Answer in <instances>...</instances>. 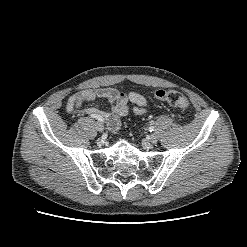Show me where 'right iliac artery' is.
Segmentation results:
<instances>
[{"instance_id":"82829eb1","label":"right iliac artery","mask_w":247,"mask_h":247,"mask_svg":"<svg viewBox=\"0 0 247 247\" xmlns=\"http://www.w3.org/2000/svg\"><path fill=\"white\" fill-rule=\"evenodd\" d=\"M90 117L95 118V119H97L98 121L103 122V119H102L101 117H97V116H93V115H91Z\"/></svg>"}]
</instances>
